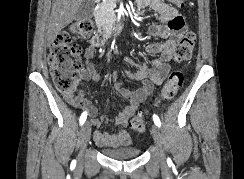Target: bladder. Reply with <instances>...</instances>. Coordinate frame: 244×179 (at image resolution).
I'll list each match as a JSON object with an SVG mask.
<instances>
[{"label":"bladder","instance_id":"31cf9c89","mask_svg":"<svg viewBox=\"0 0 244 179\" xmlns=\"http://www.w3.org/2000/svg\"><path fill=\"white\" fill-rule=\"evenodd\" d=\"M104 156L117 160H127L136 158L140 154V149L136 147H128L123 149L101 148Z\"/></svg>","mask_w":244,"mask_h":179}]
</instances>
